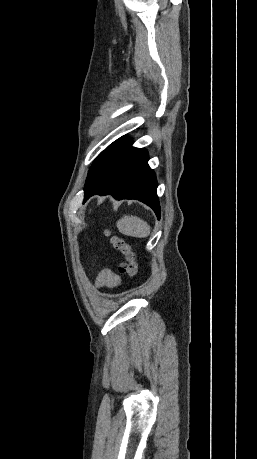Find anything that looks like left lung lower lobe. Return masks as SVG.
Instances as JSON below:
<instances>
[{
  "instance_id": "1",
  "label": "left lung lower lobe",
  "mask_w": 257,
  "mask_h": 459,
  "mask_svg": "<svg viewBox=\"0 0 257 459\" xmlns=\"http://www.w3.org/2000/svg\"><path fill=\"white\" fill-rule=\"evenodd\" d=\"M131 144L130 140L121 137L99 155L100 168L84 201L95 194H111L118 200L137 199L150 206L159 219L157 182L147 163L148 154Z\"/></svg>"
}]
</instances>
